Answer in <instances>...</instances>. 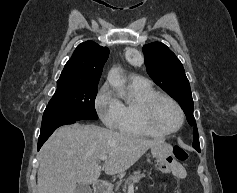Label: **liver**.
I'll return each instance as SVG.
<instances>
[{"instance_id": "1", "label": "liver", "mask_w": 237, "mask_h": 193, "mask_svg": "<svg viewBox=\"0 0 237 193\" xmlns=\"http://www.w3.org/2000/svg\"><path fill=\"white\" fill-rule=\"evenodd\" d=\"M161 141L96 125L62 126L40 150L38 193H74L77 183H95L101 173L98 160L104 154L107 155L103 166L106 174L124 172Z\"/></svg>"}]
</instances>
